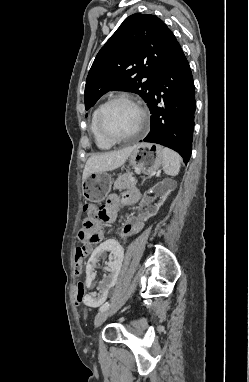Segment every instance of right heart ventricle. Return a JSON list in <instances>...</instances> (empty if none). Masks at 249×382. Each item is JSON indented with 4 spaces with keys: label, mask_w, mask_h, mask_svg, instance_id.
<instances>
[{
    "label": "right heart ventricle",
    "mask_w": 249,
    "mask_h": 382,
    "mask_svg": "<svg viewBox=\"0 0 249 382\" xmlns=\"http://www.w3.org/2000/svg\"><path fill=\"white\" fill-rule=\"evenodd\" d=\"M99 108L100 106L96 107L92 113L90 131L97 147L101 150H108L113 146V144L106 141L99 133V130L97 127V115H98Z\"/></svg>",
    "instance_id": "e07e8e85"
}]
</instances>
